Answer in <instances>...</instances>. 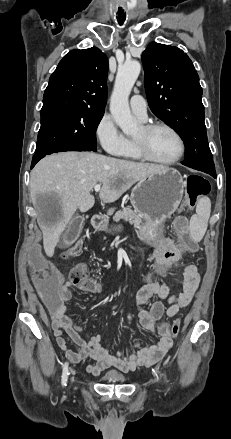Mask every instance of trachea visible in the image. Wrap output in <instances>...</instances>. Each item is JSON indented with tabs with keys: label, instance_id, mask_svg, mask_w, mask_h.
<instances>
[{
	"label": "trachea",
	"instance_id": "obj_1",
	"mask_svg": "<svg viewBox=\"0 0 231 439\" xmlns=\"http://www.w3.org/2000/svg\"><path fill=\"white\" fill-rule=\"evenodd\" d=\"M119 24H120V25L123 24V17H119Z\"/></svg>",
	"mask_w": 231,
	"mask_h": 439
}]
</instances>
